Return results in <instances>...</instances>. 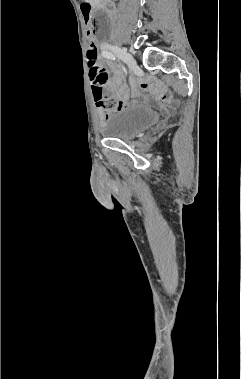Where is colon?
Wrapping results in <instances>:
<instances>
[{"label": "colon", "mask_w": 241, "mask_h": 379, "mask_svg": "<svg viewBox=\"0 0 241 379\" xmlns=\"http://www.w3.org/2000/svg\"><path fill=\"white\" fill-rule=\"evenodd\" d=\"M81 10L85 16L86 21L91 20L92 9L91 6L84 2L81 5ZM94 29L87 31V38L89 41L87 58L90 66L88 71L89 82H93V94L97 104L106 112L113 113L120 110L121 105L117 98L104 90V84L106 81L105 70L97 65L98 52L94 43Z\"/></svg>", "instance_id": "1"}]
</instances>
